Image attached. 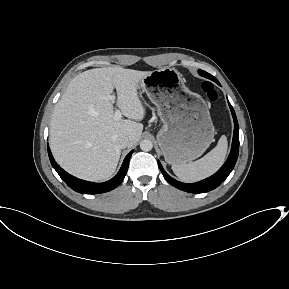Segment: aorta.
<instances>
[{"label": "aorta", "instance_id": "1", "mask_svg": "<svg viewBox=\"0 0 289 289\" xmlns=\"http://www.w3.org/2000/svg\"><path fill=\"white\" fill-rule=\"evenodd\" d=\"M140 148L143 151H150L153 148V144L150 140H143L140 143Z\"/></svg>", "mask_w": 289, "mask_h": 289}]
</instances>
